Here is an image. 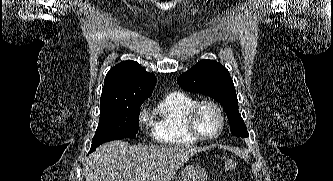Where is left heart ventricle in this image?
<instances>
[{
  "mask_svg": "<svg viewBox=\"0 0 333 181\" xmlns=\"http://www.w3.org/2000/svg\"><path fill=\"white\" fill-rule=\"evenodd\" d=\"M199 131L205 136H212L217 133L220 121L216 112L207 106L202 107L196 117Z\"/></svg>",
  "mask_w": 333,
  "mask_h": 181,
  "instance_id": "left-heart-ventricle-1",
  "label": "left heart ventricle"
}]
</instances>
